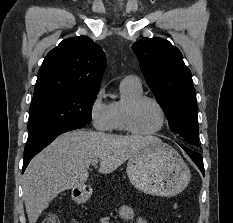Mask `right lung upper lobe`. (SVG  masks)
Here are the masks:
<instances>
[{"label":"right lung upper lobe","instance_id":"cb5924a9","mask_svg":"<svg viewBox=\"0 0 233 223\" xmlns=\"http://www.w3.org/2000/svg\"><path fill=\"white\" fill-rule=\"evenodd\" d=\"M105 66L102 48L89 37L65 39L46 55L34 95L53 91L99 92Z\"/></svg>","mask_w":233,"mask_h":223}]
</instances>
